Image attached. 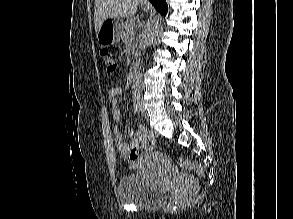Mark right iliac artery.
<instances>
[{"label":"right iliac artery","instance_id":"right-iliac-artery-1","mask_svg":"<svg viewBox=\"0 0 293 219\" xmlns=\"http://www.w3.org/2000/svg\"><path fill=\"white\" fill-rule=\"evenodd\" d=\"M133 111L135 114H139L141 111L140 94L136 91L133 93Z\"/></svg>","mask_w":293,"mask_h":219}]
</instances>
